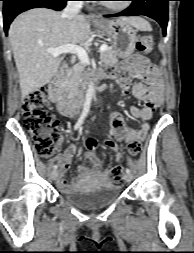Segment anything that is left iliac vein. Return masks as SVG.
<instances>
[{
  "mask_svg": "<svg viewBox=\"0 0 194 253\" xmlns=\"http://www.w3.org/2000/svg\"><path fill=\"white\" fill-rule=\"evenodd\" d=\"M124 179H125L126 182H131L132 179H133V176H132L131 173L126 172L125 175H124Z\"/></svg>",
  "mask_w": 194,
  "mask_h": 253,
  "instance_id": "1",
  "label": "left iliac vein"
}]
</instances>
